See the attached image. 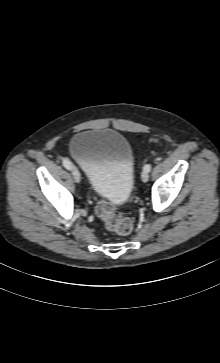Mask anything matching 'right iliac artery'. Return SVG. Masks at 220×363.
I'll return each instance as SVG.
<instances>
[{
  "mask_svg": "<svg viewBox=\"0 0 220 363\" xmlns=\"http://www.w3.org/2000/svg\"><path fill=\"white\" fill-rule=\"evenodd\" d=\"M62 163L66 169L70 170L72 168V164L69 159H63Z\"/></svg>",
  "mask_w": 220,
  "mask_h": 363,
  "instance_id": "right-iliac-artery-1",
  "label": "right iliac artery"
}]
</instances>
